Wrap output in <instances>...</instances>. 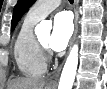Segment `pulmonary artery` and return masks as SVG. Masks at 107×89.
<instances>
[{
    "label": "pulmonary artery",
    "mask_w": 107,
    "mask_h": 89,
    "mask_svg": "<svg viewBox=\"0 0 107 89\" xmlns=\"http://www.w3.org/2000/svg\"><path fill=\"white\" fill-rule=\"evenodd\" d=\"M61 3V0H40L29 10L28 14L36 19H42L52 12Z\"/></svg>",
    "instance_id": "1"
}]
</instances>
